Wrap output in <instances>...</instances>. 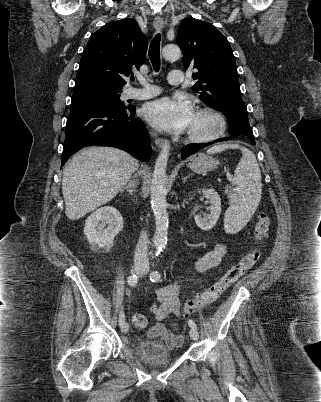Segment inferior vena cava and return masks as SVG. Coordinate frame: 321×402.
Instances as JSON below:
<instances>
[{
    "label": "inferior vena cava",
    "mask_w": 321,
    "mask_h": 402,
    "mask_svg": "<svg viewBox=\"0 0 321 402\" xmlns=\"http://www.w3.org/2000/svg\"><path fill=\"white\" fill-rule=\"evenodd\" d=\"M148 235L146 232H141L135 254H134V265L137 267H143L144 269L149 268L148 260Z\"/></svg>",
    "instance_id": "inferior-vena-cava-1"
}]
</instances>
